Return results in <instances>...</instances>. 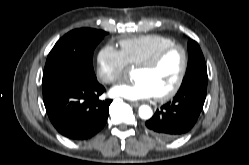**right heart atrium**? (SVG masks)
Returning a JSON list of instances; mask_svg holds the SVG:
<instances>
[{"label": "right heart atrium", "instance_id": "right-heart-atrium-1", "mask_svg": "<svg viewBox=\"0 0 249 165\" xmlns=\"http://www.w3.org/2000/svg\"><path fill=\"white\" fill-rule=\"evenodd\" d=\"M127 70V63L120 50L111 45L104 46L97 56V76L106 84L120 80Z\"/></svg>", "mask_w": 249, "mask_h": 165}]
</instances>
